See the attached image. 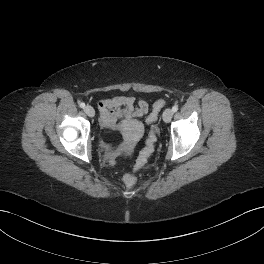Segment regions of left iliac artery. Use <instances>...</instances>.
<instances>
[{
	"instance_id": "44dca946",
	"label": "left iliac artery",
	"mask_w": 264,
	"mask_h": 264,
	"mask_svg": "<svg viewBox=\"0 0 264 264\" xmlns=\"http://www.w3.org/2000/svg\"><path fill=\"white\" fill-rule=\"evenodd\" d=\"M172 110H173V112H176L178 110V106L177 105L173 106Z\"/></svg>"
}]
</instances>
